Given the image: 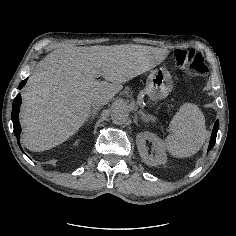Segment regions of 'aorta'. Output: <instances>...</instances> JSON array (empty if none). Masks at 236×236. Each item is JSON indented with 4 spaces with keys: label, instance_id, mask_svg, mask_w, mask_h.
<instances>
[{
    "label": "aorta",
    "instance_id": "762f6f07",
    "mask_svg": "<svg viewBox=\"0 0 236 236\" xmlns=\"http://www.w3.org/2000/svg\"><path fill=\"white\" fill-rule=\"evenodd\" d=\"M128 117H129L128 110L121 106L115 107L111 112V119L113 123L117 125H121L127 122Z\"/></svg>",
    "mask_w": 236,
    "mask_h": 236
}]
</instances>
